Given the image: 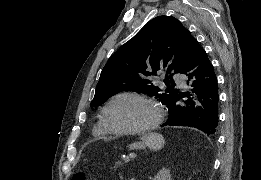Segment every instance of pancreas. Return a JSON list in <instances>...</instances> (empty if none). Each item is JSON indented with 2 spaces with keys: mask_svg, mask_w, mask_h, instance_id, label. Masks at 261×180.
Returning a JSON list of instances; mask_svg holds the SVG:
<instances>
[{
  "mask_svg": "<svg viewBox=\"0 0 261 180\" xmlns=\"http://www.w3.org/2000/svg\"><path fill=\"white\" fill-rule=\"evenodd\" d=\"M113 165H114L115 170H124L125 169V166L123 165L121 159H115Z\"/></svg>",
  "mask_w": 261,
  "mask_h": 180,
  "instance_id": "pancreas-1",
  "label": "pancreas"
}]
</instances>
